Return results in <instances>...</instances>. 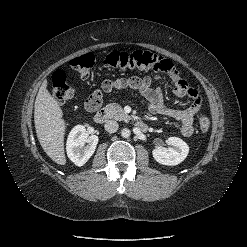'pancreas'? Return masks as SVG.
<instances>
[{"label": "pancreas", "mask_w": 247, "mask_h": 247, "mask_svg": "<svg viewBox=\"0 0 247 247\" xmlns=\"http://www.w3.org/2000/svg\"><path fill=\"white\" fill-rule=\"evenodd\" d=\"M106 116L119 121L129 120V116L124 112L122 107L117 103H110L104 108Z\"/></svg>", "instance_id": "1"}]
</instances>
